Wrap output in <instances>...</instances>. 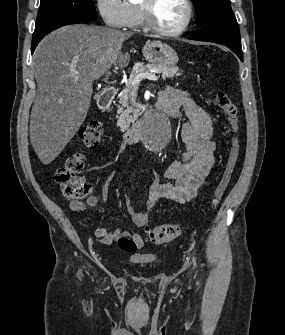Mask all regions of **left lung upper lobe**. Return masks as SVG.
Wrapping results in <instances>:
<instances>
[{
  "label": "left lung upper lobe",
  "mask_w": 285,
  "mask_h": 335,
  "mask_svg": "<svg viewBox=\"0 0 285 335\" xmlns=\"http://www.w3.org/2000/svg\"><path fill=\"white\" fill-rule=\"evenodd\" d=\"M195 4L197 21L207 24L215 19L235 18L230 0H191Z\"/></svg>",
  "instance_id": "1"
}]
</instances>
